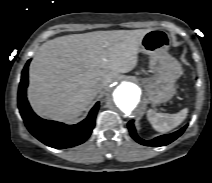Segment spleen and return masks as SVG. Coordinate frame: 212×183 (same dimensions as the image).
Segmentation results:
<instances>
[{
    "mask_svg": "<svg viewBox=\"0 0 212 183\" xmlns=\"http://www.w3.org/2000/svg\"><path fill=\"white\" fill-rule=\"evenodd\" d=\"M187 115V108L175 114L158 113L153 109H149L147 119L156 131L165 133L179 126L186 119Z\"/></svg>",
    "mask_w": 212,
    "mask_h": 183,
    "instance_id": "obj_1",
    "label": "spleen"
}]
</instances>
